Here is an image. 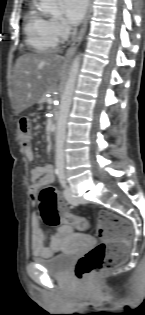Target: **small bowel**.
Instances as JSON below:
<instances>
[{
  "mask_svg": "<svg viewBox=\"0 0 145 315\" xmlns=\"http://www.w3.org/2000/svg\"><path fill=\"white\" fill-rule=\"evenodd\" d=\"M24 152L28 160L34 159V151L29 146L24 147ZM31 185L29 187L30 199L33 203L36 202L37 194L39 190L54 181V170L51 164L38 165L30 171ZM31 235H30V247L35 256L38 257H51L55 253L59 252L63 246V240L66 236L72 233L73 228L69 224H62L58 227L56 233L51 239L49 247L44 245L45 231L40 226L39 217L36 213L31 216Z\"/></svg>",
  "mask_w": 145,
  "mask_h": 315,
  "instance_id": "1",
  "label": "small bowel"
}]
</instances>
